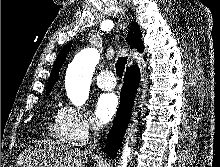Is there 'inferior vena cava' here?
<instances>
[{
	"instance_id": "602c4592",
	"label": "inferior vena cava",
	"mask_w": 220,
	"mask_h": 167,
	"mask_svg": "<svg viewBox=\"0 0 220 167\" xmlns=\"http://www.w3.org/2000/svg\"><path fill=\"white\" fill-rule=\"evenodd\" d=\"M91 128L95 131V136H98L99 127L94 122L91 123ZM96 146L97 140L94 138V141L88 146V151L91 152L93 149H95Z\"/></svg>"
}]
</instances>
